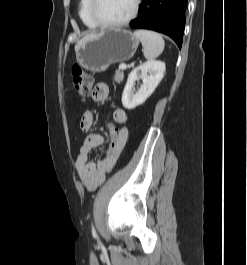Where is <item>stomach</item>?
<instances>
[{"instance_id":"0dacf381","label":"stomach","mask_w":247,"mask_h":265,"mask_svg":"<svg viewBox=\"0 0 247 265\" xmlns=\"http://www.w3.org/2000/svg\"><path fill=\"white\" fill-rule=\"evenodd\" d=\"M139 45L131 31L108 29L80 43L75 49L77 63L94 73L104 72L111 64L131 59Z\"/></svg>"}]
</instances>
